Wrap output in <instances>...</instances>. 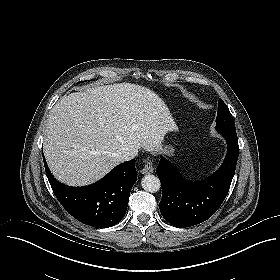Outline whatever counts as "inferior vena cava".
Listing matches in <instances>:
<instances>
[{"label":"inferior vena cava","mask_w":280,"mask_h":280,"mask_svg":"<svg viewBox=\"0 0 280 280\" xmlns=\"http://www.w3.org/2000/svg\"><path fill=\"white\" fill-rule=\"evenodd\" d=\"M138 151L136 149L129 150L121 155L123 161H128L136 157Z\"/></svg>","instance_id":"1"}]
</instances>
